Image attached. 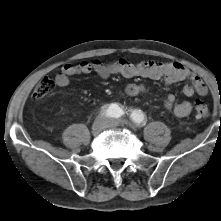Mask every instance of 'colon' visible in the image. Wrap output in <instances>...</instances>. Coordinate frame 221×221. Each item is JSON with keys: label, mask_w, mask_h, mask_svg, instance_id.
<instances>
[{"label": "colon", "mask_w": 221, "mask_h": 221, "mask_svg": "<svg viewBox=\"0 0 221 221\" xmlns=\"http://www.w3.org/2000/svg\"><path fill=\"white\" fill-rule=\"evenodd\" d=\"M55 88L54 81L49 77L42 78L37 86L35 87L32 98L35 101H40L45 98L47 95L53 92ZM194 110L197 118L204 119L209 115V109L205 103L198 100L194 104Z\"/></svg>", "instance_id": "5ec220e1"}]
</instances>
